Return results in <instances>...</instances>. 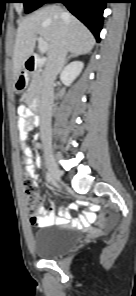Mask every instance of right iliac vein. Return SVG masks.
I'll use <instances>...</instances> for the list:
<instances>
[{"instance_id": "63e3f726", "label": "right iliac vein", "mask_w": 136, "mask_h": 296, "mask_svg": "<svg viewBox=\"0 0 136 296\" xmlns=\"http://www.w3.org/2000/svg\"><path fill=\"white\" fill-rule=\"evenodd\" d=\"M45 161H46V167L50 173L52 181L54 183H60L61 182L60 170L57 164L55 163L51 153L46 154Z\"/></svg>"}]
</instances>
